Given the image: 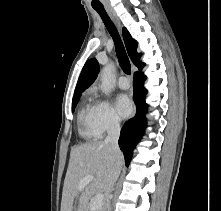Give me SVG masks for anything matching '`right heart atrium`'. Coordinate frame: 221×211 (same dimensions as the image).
<instances>
[{
  "mask_svg": "<svg viewBox=\"0 0 221 211\" xmlns=\"http://www.w3.org/2000/svg\"><path fill=\"white\" fill-rule=\"evenodd\" d=\"M93 125L100 136L120 128V120L111 104L104 99H96L92 105Z\"/></svg>",
  "mask_w": 221,
  "mask_h": 211,
  "instance_id": "right-heart-atrium-1",
  "label": "right heart atrium"
}]
</instances>
